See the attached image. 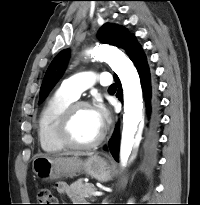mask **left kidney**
Instances as JSON below:
<instances>
[{
  "mask_svg": "<svg viewBox=\"0 0 200 205\" xmlns=\"http://www.w3.org/2000/svg\"><path fill=\"white\" fill-rule=\"evenodd\" d=\"M129 204H133L132 200H130Z\"/></svg>",
  "mask_w": 200,
  "mask_h": 205,
  "instance_id": "5707ae66",
  "label": "left kidney"
}]
</instances>
